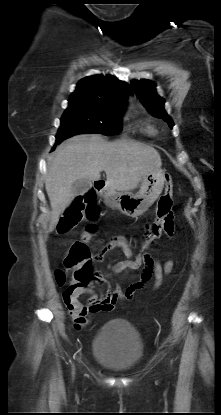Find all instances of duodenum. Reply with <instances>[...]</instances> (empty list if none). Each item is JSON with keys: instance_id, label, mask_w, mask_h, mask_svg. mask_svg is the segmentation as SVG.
<instances>
[{"instance_id": "1", "label": "duodenum", "mask_w": 221, "mask_h": 415, "mask_svg": "<svg viewBox=\"0 0 221 415\" xmlns=\"http://www.w3.org/2000/svg\"><path fill=\"white\" fill-rule=\"evenodd\" d=\"M106 188V184L104 180H97L94 182V189L99 192L102 193Z\"/></svg>"}]
</instances>
